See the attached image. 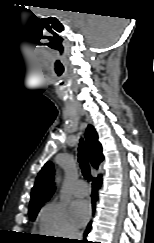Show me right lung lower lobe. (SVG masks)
<instances>
[{"label": "right lung lower lobe", "mask_w": 154, "mask_h": 243, "mask_svg": "<svg viewBox=\"0 0 154 243\" xmlns=\"http://www.w3.org/2000/svg\"><path fill=\"white\" fill-rule=\"evenodd\" d=\"M102 184V179H101V175H99L97 178L94 179L93 183H92V194H91V197H92V207L93 209L95 208V203H96V200L98 198V189L100 188ZM91 229V222L88 224L87 226V229L86 231L84 232V236L86 237L89 233ZM74 243H86L85 240L83 241H72Z\"/></svg>", "instance_id": "right-lung-lower-lobe-1"}]
</instances>
